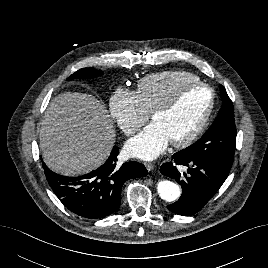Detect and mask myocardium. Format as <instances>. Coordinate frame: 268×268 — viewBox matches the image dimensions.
Wrapping results in <instances>:
<instances>
[{
	"mask_svg": "<svg viewBox=\"0 0 268 268\" xmlns=\"http://www.w3.org/2000/svg\"><path fill=\"white\" fill-rule=\"evenodd\" d=\"M195 87H202V88L208 89L210 92V100H209L208 105H207L206 109L204 110L199 122L193 128V130L182 139L170 141V143L174 147L188 146L191 143H193L199 137V135L202 133V131L204 130V128H205V126H206V124L211 116V113H212L214 105H215L214 90L209 85H207L206 83H203L201 81L189 82V83L180 85L175 90V92L162 105H160L159 107L154 109L151 113L152 119H155L157 116L168 113L177 105L182 93L185 90L190 89V88H195Z\"/></svg>",
	"mask_w": 268,
	"mask_h": 268,
	"instance_id": "obj_1",
	"label": "myocardium"
}]
</instances>
